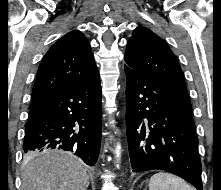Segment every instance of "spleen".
Returning a JSON list of instances; mask_svg holds the SVG:
<instances>
[{"instance_id": "obj_1", "label": "spleen", "mask_w": 221, "mask_h": 190, "mask_svg": "<svg viewBox=\"0 0 221 190\" xmlns=\"http://www.w3.org/2000/svg\"><path fill=\"white\" fill-rule=\"evenodd\" d=\"M149 190H195L181 178L169 173H156L149 181Z\"/></svg>"}]
</instances>
